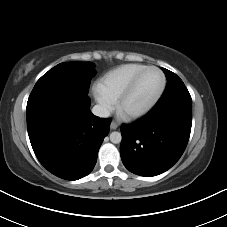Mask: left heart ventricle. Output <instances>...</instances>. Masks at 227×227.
I'll list each match as a JSON object with an SVG mask.
<instances>
[{
    "label": "left heart ventricle",
    "instance_id": "left-heart-ventricle-1",
    "mask_svg": "<svg viewBox=\"0 0 227 227\" xmlns=\"http://www.w3.org/2000/svg\"><path fill=\"white\" fill-rule=\"evenodd\" d=\"M162 76L157 70H148L126 102V109L135 110L148 103L160 90Z\"/></svg>",
    "mask_w": 227,
    "mask_h": 227
}]
</instances>
